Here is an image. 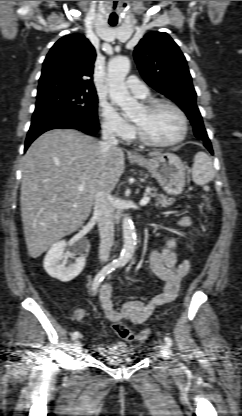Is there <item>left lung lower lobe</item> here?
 <instances>
[{
  "mask_svg": "<svg viewBox=\"0 0 242 416\" xmlns=\"http://www.w3.org/2000/svg\"><path fill=\"white\" fill-rule=\"evenodd\" d=\"M204 146L210 151L211 154H213L212 146L209 140L204 142Z\"/></svg>",
  "mask_w": 242,
  "mask_h": 416,
  "instance_id": "1",
  "label": "left lung lower lobe"
}]
</instances>
